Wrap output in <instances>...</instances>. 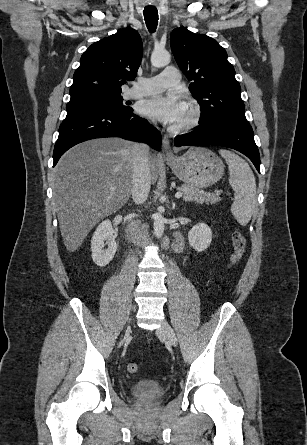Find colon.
<instances>
[{
    "instance_id": "1",
    "label": "colon",
    "mask_w": 307,
    "mask_h": 445,
    "mask_svg": "<svg viewBox=\"0 0 307 445\" xmlns=\"http://www.w3.org/2000/svg\"><path fill=\"white\" fill-rule=\"evenodd\" d=\"M232 245L233 251L229 263V266L231 267L237 265L241 261L246 250V239L241 231L236 230L233 232ZM127 370L130 374H136L139 370V366L137 363H130L127 367Z\"/></svg>"
}]
</instances>
